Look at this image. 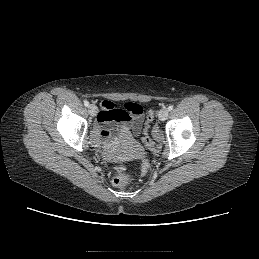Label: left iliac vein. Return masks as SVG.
Instances as JSON below:
<instances>
[{
    "instance_id": "left-iliac-vein-1",
    "label": "left iliac vein",
    "mask_w": 259,
    "mask_h": 259,
    "mask_svg": "<svg viewBox=\"0 0 259 259\" xmlns=\"http://www.w3.org/2000/svg\"><path fill=\"white\" fill-rule=\"evenodd\" d=\"M169 111L167 108H162L159 113H158V117L161 121H165L168 117Z\"/></svg>"
}]
</instances>
